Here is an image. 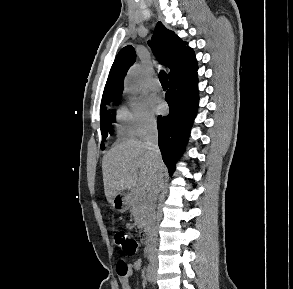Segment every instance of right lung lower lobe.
I'll return each mask as SVG.
<instances>
[{"mask_svg": "<svg viewBox=\"0 0 293 289\" xmlns=\"http://www.w3.org/2000/svg\"><path fill=\"white\" fill-rule=\"evenodd\" d=\"M197 82V74L189 79L169 81V90L165 99L170 112L168 116H159L157 119L159 148L170 175L186 147L197 114Z\"/></svg>", "mask_w": 293, "mask_h": 289, "instance_id": "right-lung-lower-lobe-1", "label": "right lung lower lobe"}]
</instances>
